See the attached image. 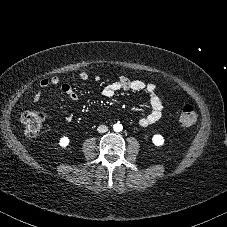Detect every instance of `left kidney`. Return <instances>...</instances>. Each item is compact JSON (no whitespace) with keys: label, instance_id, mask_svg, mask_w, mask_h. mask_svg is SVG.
Wrapping results in <instances>:
<instances>
[{"label":"left kidney","instance_id":"obj_1","mask_svg":"<svg viewBox=\"0 0 227 227\" xmlns=\"http://www.w3.org/2000/svg\"><path fill=\"white\" fill-rule=\"evenodd\" d=\"M152 142L155 146H162L164 144V138L160 134H155L152 137Z\"/></svg>","mask_w":227,"mask_h":227}]
</instances>
